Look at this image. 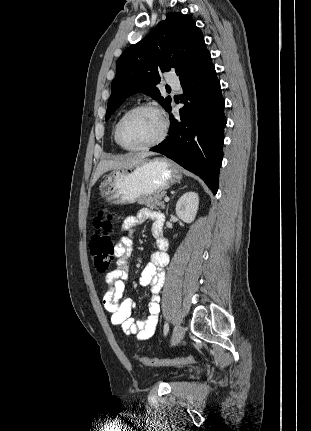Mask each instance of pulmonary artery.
<instances>
[{"label":"pulmonary artery","mask_w":311,"mask_h":431,"mask_svg":"<svg viewBox=\"0 0 311 431\" xmlns=\"http://www.w3.org/2000/svg\"><path fill=\"white\" fill-rule=\"evenodd\" d=\"M167 82L176 90H181V86H180L179 81H167Z\"/></svg>","instance_id":"e3ab8cb5"}]
</instances>
